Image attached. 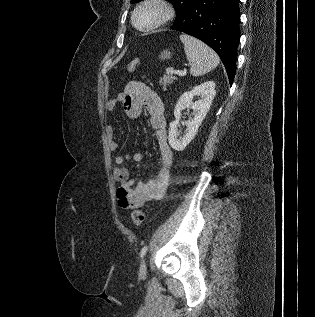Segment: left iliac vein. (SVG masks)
I'll use <instances>...</instances> for the list:
<instances>
[{"label":"left iliac vein","mask_w":315,"mask_h":317,"mask_svg":"<svg viewBox=\"0 0 315 317\" xmlns=\"http://www.w3.org/2000/svg\"><path fill=\"white\" fill-rule=\"evenodd\" d=\"M146 274H147L146 261L143 260V261L141 262V265H140L139 276H140L141 278H145V277H146Z\"/></svg>","instance_id":"left-iliac-vein-1"}]
</instances>
